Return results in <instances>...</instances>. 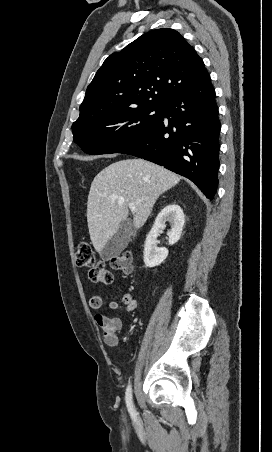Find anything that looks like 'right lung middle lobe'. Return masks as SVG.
<instances>
[{
  "label": "right lung middle lobe",
  "mask_w": 272,
  "mask_h": 452,
  "mask_svg": "<svg viewBox=\"0 0 272 452\" xmlns=\"http://www.w3.org/2000/svg\"><path fill=\"white\" fill-rule=\"evenodd\" d=\"M161 107L142 105L77 120L73 140L91 155L117 153L126 148L159 119Z\"/></svg>",
  "instance_id": "1"
}]
</instances>
